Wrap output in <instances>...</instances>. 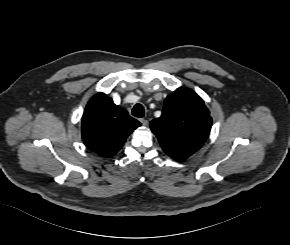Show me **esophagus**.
Wrapping results in <instances>:
<instances>
[{
    "mask_svg": "<svg viewBox=\"0 0 290 245\" xmlns=\"http://www.w3.org/2000/svg\"><path fill=\"white\" fill-rule=\"evenodd\" d=\"M140 122L143 126H147L148 125V120L144 119V118H141L140 119Z\"/></svg>",
    "mask_w": 290,
    "mask_h": 245,
    "instance_id": "obj_1",
    "label": "esophagus"
}]
</instances>
